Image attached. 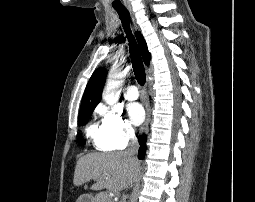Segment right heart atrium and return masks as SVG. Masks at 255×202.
I'll list each match as a JSON object with an SVG mask.
<instances>
[{
    "mask_svg": "<svg viewBox=\"0 0 255 202\" xmlns=\"http://www.w3.org/2000/svg\"><path fill=\"white\" fill-rule=\"evenodd\" d=\"M98 112L102 117L103 147L109 150L125 148L135 136L132 125L115 109L100 106Z\"/></svg>",
    "mask_w": 255,
    "mask_h": 202,
    "instance_id": "1",
    "label": "right heart atrium"
}]
</instances>
